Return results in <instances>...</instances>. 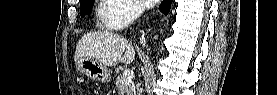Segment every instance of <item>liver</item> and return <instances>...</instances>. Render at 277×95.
<instances>
[{"instance_id":"liver-1","label":"liver","mask_w":277,"mask_h":95,"mask_svg":"<svg viewBox=\"0 0 277 95\" xmlns=\"http://www.w3.org/2000/svg\"><path fill=\"white\" fill-rule=\"evenodd\" d=\"M81 57L93 58L105 66H115L120 61L123 64L133 62L135 50L122 36L109 31H97L87 33L79 40L75 61Z\"/></svg>"}]
</instances>
